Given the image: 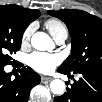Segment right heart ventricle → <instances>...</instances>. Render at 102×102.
<instances>
[{
    "label": "right heart ventricle",
    "mask_w": 102,
    "mask_h": 102,
    "mask_svg": "<svg viewBox=\"0 0 102 102\" xmlns=\"http://www.w3.org/2000/svg\"><path fill=\"white\" fill-rule=\"evenodd\" d=\"M45 27L49 30L53 38H57L60 35L68 36V28L63 21L57 18H50L45 22Z\"/></svg>",
    "instance_id": "e07e8e85"
}]
</instances>
